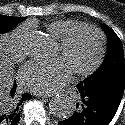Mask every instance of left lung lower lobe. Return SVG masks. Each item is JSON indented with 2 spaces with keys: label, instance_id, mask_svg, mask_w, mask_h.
Returning <instances> with one entry per match:
<instances>
[{
  "label": "left lung lower lobe",
  "instance_id": "0a47b994",
  "mask_svg": "<svg viewBox=\"0 0 125 125\" xmlns=\"http://www.w3.org/2000/svg\"><path fill=\"white\" fill-rule=\"evenodd\" d=\"M80 96L77 110L59 125H107L113 119L121 102L125 81L85 89L81 83L77 86Z\"/></svg>",
  "mask_w": 125,
  "mask_h": 125
}]
</instances>
